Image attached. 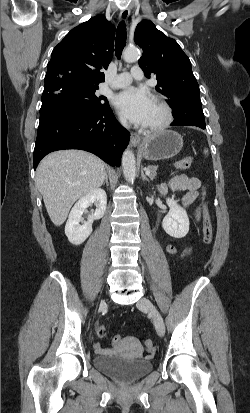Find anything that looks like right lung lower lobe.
Segmentation results:
<instances>
[{"label": "right lung lower lobe", "mask_w": 250, "mask_h": 413, "mask_svg": "<svg viewBox=\"0 0 250 413\" xmlns=\"http://www.w3.org/2000/svg\"><path fill=\"white\" fill-rule=\"evenodd\" d=\"M130 140L110 107L99 110L56 105L40 113L33 164L36 169L48 153L62 149H81L94 153L118 167Z\"/></svg>", "instance_id": "obj_1"}]
</instances>
